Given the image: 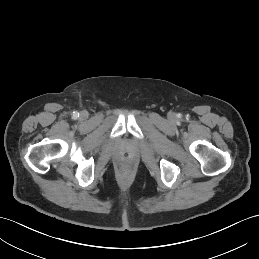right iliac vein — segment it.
<instances>
[{
  "label": "right iliac vein",
  "mask_w": 259,
  "mask_h": 259,
  "mask_svg": "<svg viewBox=\"0 0 259 259\" xmlns=\"http://www.w3.org/2000/svg\"><path fill=\"white\" fill-rule=\"evenodd\" d=\"M80 116H81L82 118H85V117H86V113H85V112H82V113L80 114Z\"/></svg>",
  "instance_id": "63e3f726"
}]
</instances>
